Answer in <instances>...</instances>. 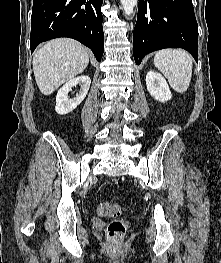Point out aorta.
Wrapping results in <instances>:
<instances>
[{"label": "aorta", "mask_w": 221, "mask_h": 263, "mask_svg": "<svg viewBox=\"0 0 221 263\" xmlns=\"http://www.w3.org/2000/svg\"><path fill=\"white\" fill-rule=\"evenodd\" d=\"M138 0H121L123 11L126 16L134 14Z\"/></svg>", "instance_id": "1"}]
</instances>
